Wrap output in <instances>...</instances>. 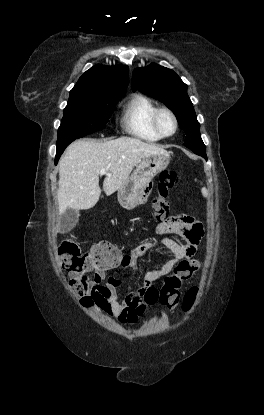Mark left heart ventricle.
Segmentation results:
<instances>
[{
	"instance_id": "b2bd125f",
	"label": "left heart ventricle",
	"mask_w": 264,
	"mask_h": 415,
	"mask_svg": "<svg viewBox=\"0 0 264 415\" xmlns=\"http://www.w3.org/2000/svg\"><path fill=\"white\" fill-rule=\"evenodd\" d=\"M159 127L164 134H170L174 130V122L168 113L159 116Z\"/></svg>"
}]
</instances>
